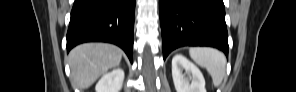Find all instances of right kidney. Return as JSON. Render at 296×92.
<instances>
[{"label": "right kidney", "instance_id": "obj_1", "mask_svg": "<svg viewBox=\"0 0 296 92\" xmlns=\"http://www.w3.org/2000/svg\"><path fill=\"white\" fill-rule=\"evenodd\" d=\"M124 80V71L116 68L104 74L96 84V92H119Z\"/></svg>", "mask_w": 296, "mask_h": 92}]
</instances>
